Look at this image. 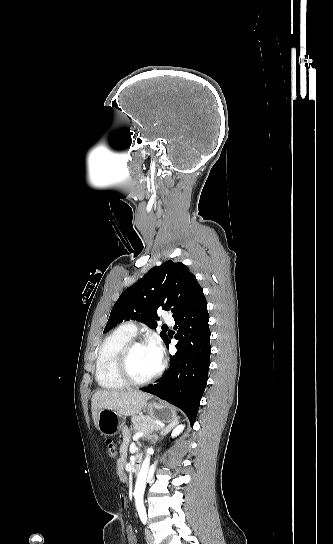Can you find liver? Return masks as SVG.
Masks as SVG:
<instances>
[{
	"instance_id": "1",
	"label": "liver",
	"mask_w": 333,
	"mask_h": 544,
	"mask_svg": "<svg viewBox=\"0 0 333 544\" xmlns=\"http://www.w3.org/2000/svg\"><path fill=\"white\" fill-rule=\"evenodd\" d=\"M150 398V394L138 390H98L91 398L94 424L97 427L99 411L104 408L135 418Z\"/></svg>"
}]
</instances>
